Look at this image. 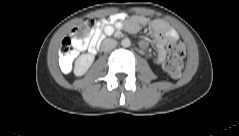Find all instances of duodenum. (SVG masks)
Listing matches in <instances>:
<instances>
[{
	"mask_svg": "<svg viewBox=\"0 0 239 136\" xmlns=\"http://www.w3.org/2000/svg\"><path fill=\"white\" fill-rule=\"evenodd\" d=\"M104 36L102 35L95 44H93L91 47H90V52L91 53H96L99 49V41L103 38Z\"/></svg>",
	"mask_w": 239,
	"mask_h": 136,
	"instance_id": "410a0bca",
	"label": "duodenum"
}]
</instances>
